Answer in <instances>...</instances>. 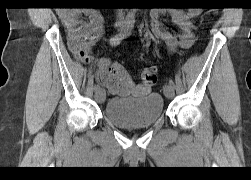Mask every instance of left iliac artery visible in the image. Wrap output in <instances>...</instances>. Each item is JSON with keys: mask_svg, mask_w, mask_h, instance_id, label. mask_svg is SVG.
<instances>
[{"mask_svg": "<svg viewBox=\"0 0 251 180\" xmlns=\"http://www.w3.org/2000/svg\"><path fill=\"white\" fill-rule=\"evenodd\" d=\"M140 32L142 33V29H140ZM148 34H150V32H146L145 36H148ZM169 84L174 87V81L172 79H169Z\"/></svg>", "mask_w": 251, "mask_h": 180, "instance_id": "left-iliac-artery-1", "label": "left iliac artery"}]
</instances>
